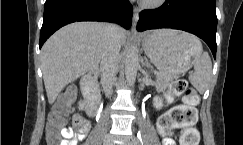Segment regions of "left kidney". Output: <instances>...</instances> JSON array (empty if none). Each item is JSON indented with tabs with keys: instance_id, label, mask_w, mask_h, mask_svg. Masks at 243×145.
Here are the masks:
<instances>
[{
	"instance_id": "5707ae66",
	"label": "left kidney",
	"mask_w": 243,
	"mask_h": 145,
	"mask_svg": "<svg viewBox=\"0 0 243 145\" xmlns=\"http://www.w3.org/2000/svg\"><path fill=\"white\" fill-rule=\"evenodd\" d=\"M153 106L157 109L160 110L163 107V100L160 96H155L153 98Z\"/></svg>"
}]
</instances>
